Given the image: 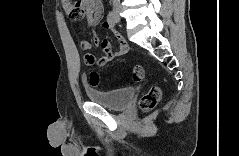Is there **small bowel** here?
<instances>
[{
  "mask_svg": "<svg viewBox=\"0 0 239 156\" xmlns=\"http://www.w3.org/2000/svg\"><path fill=\"white\" fill-rule=\"evenodd\" d=\"M62 7L66 14L73 22V28L79 32L75 22L86 17L90 26H97L103 17V5L100 0H77L75 2L70 0H63ZM103 27L112 28L108 20L103 22ZM119 40V48L116 51L112 50V44L109 40L100 41L97 35L94 34L93 40L96 45H99L103 50V55L99 58L91 54L86 55V61L89 66H105L114 57L124 55L128 52L129 46L126 41L116 32ZM80 48L87 52L91 49L90 42L83 40L80 43Z\"/></svg>",
  "mask_w": 239,
  "mask_h": 156,
  "instance_id": "small-bowel-1",
  "label": "small bowel"
}]
</instances>
